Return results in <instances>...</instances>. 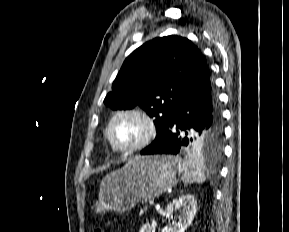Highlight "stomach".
I'll return each instance as SVG.
<instances>
[{"label": "stomach", "instance_id": "stomach-1", "mask_svg": "<svg viewBox=\"0 0 289 232\" xmlns=\"http://www.w3.org/2000/svg\"><path fill=\"white\" fill-rule=\"evenodd\" d=\"M179 160L173 156H136L107 175L95 204L97 213L126 212L153 199L177 183Z\"/></svg>", "mask_w": 289, "mask_h": 232}]
</instances>
